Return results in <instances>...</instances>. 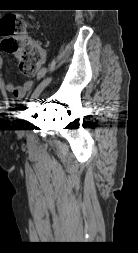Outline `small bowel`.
Here are the masks:
<instances>
[{"mask_svg":"<svg viewBox=\"0 0 138 253\" xmlns=\"http://www.w3.org/2000/svg\"><path fill=\"white\" fill-rule=\"evenodd\" d=\"M3 65V58L0 55V68ZM46 72L45 69H41L38 73V76H42L44 75ZM34 87V80L29 79L26 80L23 84L21 85H16L14 82L9 81L6 83V90L10 93H12V95L16 98V99H22L25 97V95L31 91Z\"/></svg>","mask_w":138,"mask_h":253,"instance_id":"obj_1","label":"small bowel"}]
</instances>
